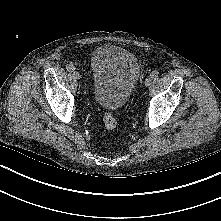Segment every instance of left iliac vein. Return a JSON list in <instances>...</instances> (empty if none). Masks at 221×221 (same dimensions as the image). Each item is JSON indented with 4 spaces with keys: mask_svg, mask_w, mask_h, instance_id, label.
I'll return each mask as SVG.
<instances>
[{
    "mask_svg": "<svg viewBox=\"0 0 221 221\" xmlns=\"http://www.w3.org/2000/svg\"><path fill=\"white\" fill-rule=\"evenodd\" d=\"M151 83H152V79H151L150 77H148V78L145 79V86H146V87L150 86Z\"/></svg>",
    "mask_w": 221,
    "mask_h": 221,
    "instance_id": "obj_1",
    "label": "left iliac vein"
}]
</instances>
